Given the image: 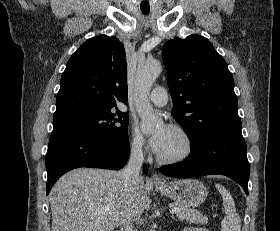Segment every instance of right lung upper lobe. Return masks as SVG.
<instances>
[{"instance_id":"cb5924a9","label":"right lung upper lobe","mask_w":280,"mask_h":231,"mask_svg":"<svg viewBox=\"0 0 280 231\" xmlns=\"http://www.w3.org/2000/svg\"><path fill=\"white\" fill-rule=\"evenodd\" d=\"M127 66L123 44L101 35L84 42L69 59L60 80L53 122L93 116L125 103Z\"/></svg>"}]
</instances>
